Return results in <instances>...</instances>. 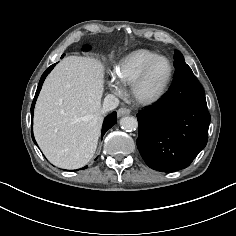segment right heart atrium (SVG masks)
I'll list each match as a JSON object with an SVG mask.
<instances>
[{"label": "right heart atrium", "mask_w": 236, "mask_h": 236, "mask_svg": "<svg viewBox=\"0 0 236 236\" xmlns=\"http://www.w3.org/2000/svg\"><path fill=\"white\" fill-rule=\"evenodd\" d=\"M109 89L116 94L122 93L121 85L117 81H115L114 79H111L109 81Z\"/></svg>", "instance_id": "1"}]
</instances>
